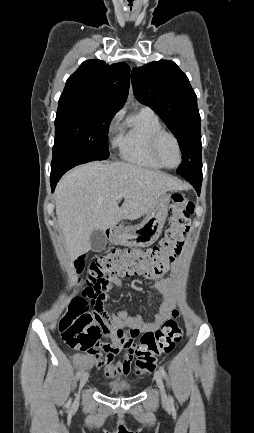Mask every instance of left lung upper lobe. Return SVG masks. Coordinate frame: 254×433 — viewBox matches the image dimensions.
<instances>
[{
    "instance_id": "left-lung-upper-lobe-1",
    "label": "left lung upper lobe",
    "mask_w": 254,
    "mask_h": 433,
    "mask_svg": "<svg viewBox=\"0 0 254 433\" xmlns=\"http://www.w3.org/2000/svg\"><path fill=\"white\" fill-rule=\"evenodd\" d=\"M137 100L152 108L176 136L183 160L179 175L202 176L201 118L187 76L172 61H153L131 72Z\"/></svg>"
}]
</instances>
